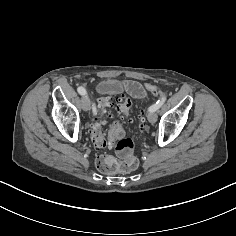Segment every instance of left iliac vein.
Wrapping results in <instances>:
<instances>
[{"instance_id": "left-iliac-vein-1", "label": "left iliac vein", "mask_w": 236, "mask_h": 236, "mask_svg": "<svg viewBox=\"0 0 236 236\" xmlns=\"http://www.w3.org/2000/svg\"><path fill=\"white\" fill-rule=\"evenodd\" d=\"M150 123H155L157 121V113L156 112H149L147 116Z\"/></svg>"}]
</instances>
